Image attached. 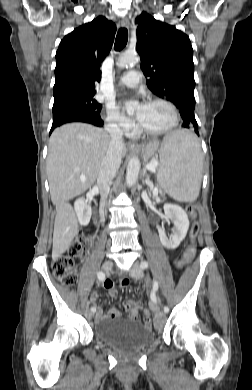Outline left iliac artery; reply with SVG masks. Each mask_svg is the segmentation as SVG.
Returning <instances> with one entry per match:
<instances>
[{
    "instance_id": "44dca946",
    "label": "left iliac artery",
    "mask_w": 252,
    "mask_h": 390,
    "mask_svg": "<svg viewBox=\"0 0 252 390\" xmlns=\"http://www.w3.org/2000/svg\"><path fill=\"white\" fill-rule=\"evenodd\" d=\"M148 267V262L147 261H142L141 264H140V268L141 269H146ZM158 282L157 281H154L153 283V289H152V292H151V295H150V298L151 300H157V297H156V291L158 290ZM164 312L165 313H168L169 312V308L167 306H164Z\"/></svg>"
}]
</instances>
